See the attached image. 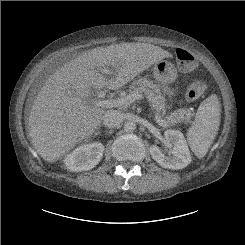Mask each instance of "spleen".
I'll use <instances>...</instances> for the list:
<instances>
[{"instance_id":"3e777b00","label":"spleen","mask_w":245,"mask_h":245,"mask_svg":"<svg viewBox=\"0 0 245 245\" xmlns=\"http://www.w3.org/2000/svg\"><path fill=\"white\" fill-rule=\"evenodd\" d=\"M221 104L211 95L199 106L194 124L187 131V140L194 154L202 158L208 152L219 129Z\"/></svg>"}]
</instances>
